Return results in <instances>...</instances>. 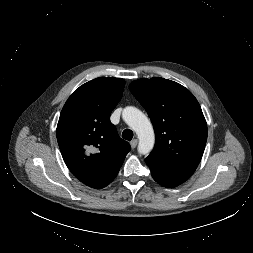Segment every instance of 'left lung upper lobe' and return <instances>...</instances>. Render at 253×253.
Returning <instances> with one entry per match:
<instances>
[{
	"label": "left lung upper lobe",
	"mask_w": 253,
	"mask_h": 253,
	"mask_svg": "<svg viewBox=\"0 0 253 253\" xmlns=\"http://www.w3.org/2000/svg\"><path fill=\"white\" fill-rule=\"evenodd\" d=\"M129 89L155 130V147L145 162L190 178L207 141L206 120L196 98L184 86L160 77L133 81Z\"/></svg>",
	"instance_id": "obj_1"
}]
</instances>
